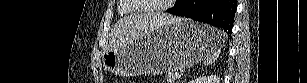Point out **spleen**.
Wrapping results in <instances>:
<instances>
[{
	"label": "spleen",
	"instance_id": "3e777b00",
	"mask_svg": "<svg viewBox=\"0 0 307 83\" xmlns=\"http://www.w3.org/2000/svg\"><path fill=\"white\" fill-rule=\"evenodd\" d=\"M215 29V28H214ZM217 31V34L215 36V39L217 41V48H215L213 51H211L205 58V61H204V65H211L213 64L214 62H216V60L218 59L219 57V54H220V51H221V44L222 42L225 41L226 39V34L222 31H218L217 29H215Z\"/></svg>",
	"mask_w": 307,
	"mask_h": 83
}]
</instances>
